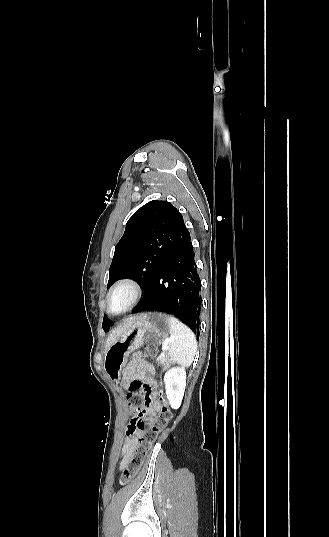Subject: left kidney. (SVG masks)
Masks as SVG:
<instances>
[{"instance_id":"obj_1","label":"left kidney","mask_w":329,"mask_h":537,"mask_svg":"<svg viewBox=\"0 0 329 537\" xmlns=\"http://www.w3.org/2000/svg\"><path fill=\"white\" fill-rule=\"evenodd\" d=\"M166 396L173 409H178L181 405L185 386L186 371L184 367H174L167 371L164 376Z\"/></svg>"}]
</instances>
